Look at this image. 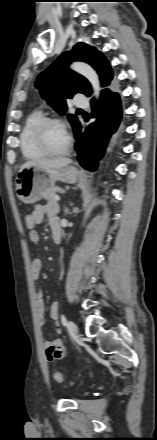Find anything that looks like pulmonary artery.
I'll return each instance as SVG.
<instances>
[{
    "label": "pulmonary artery",
    "instance_id": "obj_1",
    "mask_svg": "<svg viewBox=\"0 0 157 440\" xmlns=\"http://www.w3.org/2000/svg\"><path fill=\"white\" fill-rule=\"evenodd\" d=\"M73 103L79 107H88V101L83 94H76Z\"/></svg>",
    "mask_w": 157,
    "mask_h": 440
}]
</instances>
